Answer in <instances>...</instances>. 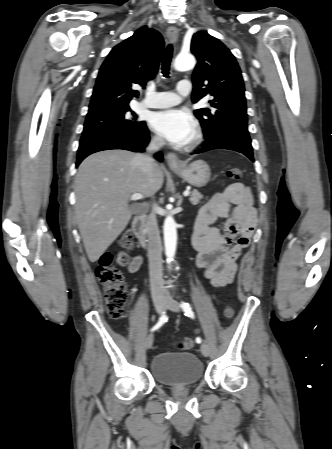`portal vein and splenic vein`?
Returning a JSON list of instances; mask_svg holds the SVG:
<instances>
[{
    "mask_svg": "<svg viewBox=\"0 0 332 449\" xmlns=\"http://www.w3.org/2000/svg\"><path fill=\"white\" fill-rule=\"evenodd\" d=\"M189 194H190L189 191H185V192L183 193V195H184L185 197H187ZM142 198H143V195H141V194H139V193H134V194H132V196H131V200H138V199H142Z\"/></svg>",
    "mask_w": 332,
    "mask_h": 449,
    "instance_id": "18ae733b",
    "label": "portal vein and splenic vein"
}]
</instances>
